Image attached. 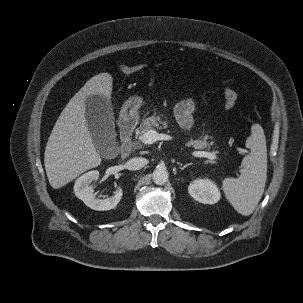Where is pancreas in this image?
Listing matches in <instances>:
<instances>
[{"label":"pancreas","mask_w":303,"mask_h":303,"mask_svg":"<svg viewBox=\"0 0 303 303\" xmlns=\"http://www.w3.org/2000/svg\"><path fill=\"white\" fill-rule=\"evenodd\" d=\"M162 127H167V122L162 121L160 116L153 115L151 117L145 118L140 125L138 130V135L142 136L145 132L152 129H161ZM189 146H192L195 149H209L210 145L207 142L206 137H200L196 140L191 139L188 142Z\"/></svg>","instance_id":"pancreas-1"}]
</instances>
